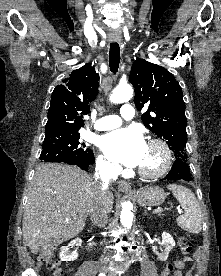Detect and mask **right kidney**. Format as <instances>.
<instances>
[{"mask_svg":"<svg viewBox=\"0 0 221 276\" xmlns=\"http://www.w3.org/2000/svg\"><path fill=\"white\" fill-rule=\"evenodd\" d=\"M82 240L79 238L71 241L67 246H63L60 251L61 261H74L78 258V253L76 251H70L73 247L81 246Z\"/></svg>","mask_w":221,"mask_h":276,"instance_id":"1","label":"right kidney"}]
</instances>
